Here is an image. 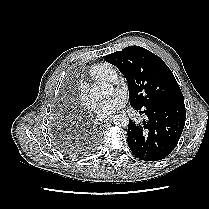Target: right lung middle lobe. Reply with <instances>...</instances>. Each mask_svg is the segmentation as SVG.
I'll return each mask as SVG.
<instances>
[{"label": "right lung middle lobe", "mask_w": 209, "mask_h": 209, "mask_svg": "<svg viewBox=\"0 0 209 209\" xmlns=\"http://www.w3.org/2000/svg\"><path fill=\"white\" fill-rule=\"evenodd\" d=\"M58 147L63 153H66L70 156H77L80 153L77 147H72L69 143H66L65 141L59 142Z\"/></svg>", "instance_id": "dd1d6c3e"}]
</instances>
